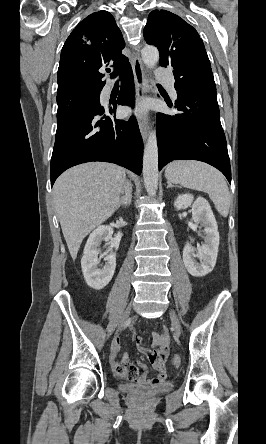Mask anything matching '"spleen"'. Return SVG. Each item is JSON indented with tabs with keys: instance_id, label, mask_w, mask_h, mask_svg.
I'll return each mask as SVG.
<instances>
[{
	"instance_id": "obj_1",
	"label": "spleen",
	"mask_w": 266,
	"mask_h": 444,
	"mask_svg": "<svg viewBox=\"0 0 266 444\" xmlns=\"http://www.w3.org/2000/svg\"><path fill=\"white\" fill-rule=\"evenodd\" d=\"M165 176L170 182L207 193L219 214L228 216L229 189L224 176L212 166L195 160H176L168 164Z\"/></svg>"
}]
</instances>
